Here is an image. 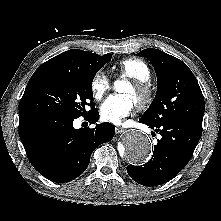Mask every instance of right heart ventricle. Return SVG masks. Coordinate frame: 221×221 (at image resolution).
Wrapping results in <instances>:
<instances>
[{"instance_id":"1","label":"right heart ventricle","mask_w":221,"mask_h":221,"mask_svg":"<svg viewBox=\"0 0 221 221\" xmlns=\"http://www.w3.org/2000/svg\"><path fill=\"white\" fill-rule=\"evenodd\" d=\"M117 73L132 80L146 81L151 78L149 66L141 59L126 58L117 64Z\"/></svg>"}]
</instances>
